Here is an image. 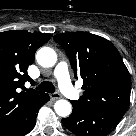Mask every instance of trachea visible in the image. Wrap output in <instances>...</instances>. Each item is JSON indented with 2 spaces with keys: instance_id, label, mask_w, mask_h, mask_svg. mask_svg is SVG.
I'll list each match as a JSON object with an SVG mask.
<instances>
[{
  "instance_id": "1",
  "label": "trachea",
  "mask_w": 136,
  "mask_h": 136,
  "mask_svg": "<svg viewBox=\"0 0 136 136\" xmlns=\"http://www.w3.org/2000/svg\"><path fill=\"white\" fill-rule=\"evenodd\" d=\"M36 89L48 93H54L55 92V87L51 82L44 81L42 82Z\"/></svg>"
}]
</instances>
